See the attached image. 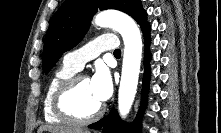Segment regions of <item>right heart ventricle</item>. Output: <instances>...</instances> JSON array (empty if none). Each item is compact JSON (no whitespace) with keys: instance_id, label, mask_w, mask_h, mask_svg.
I'll return each instance as SVG.
<instances>
[{"instance_id":"1","label":"right heart ventricle","mask_w":221,"mask_h":133,"mask_svg":"<svg viewBox=\"0 0 221 133\" xmlns=\"http://www.w3.org/2000/svg\"><path fill=\"white\" fill-rule=\"evenodd\" d=\"M78 70L63 63L50 77L43 98V115L46 122L51 124H63L65 121L58 117L52 107V99L57 87L66 79L76 74Z\"/></svg>"}]
</instances>
